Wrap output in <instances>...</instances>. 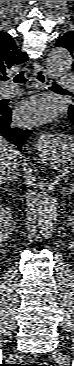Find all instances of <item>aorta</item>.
I'll use <instances>...</instances> for the list:
<instances>
[{
    "label": "aorta",
    "instance_id": "1",
    "mask_svg": "<svg viewBox=\"0 0 74 366\" xmlns=\"http://www.w3.org/2000/svg\"><path fill=\"white\" fill-rule=\"evenodd\" d=\"M72 65V56L64 47H55L47 56V72L52 78L62 76ZM57 203L50 194H43L38 202L37 226L45 239L52 237L57 223Z\"/></svg>",
    "mask_w": 74,
    "mask_h": 366
}]
</instances>
